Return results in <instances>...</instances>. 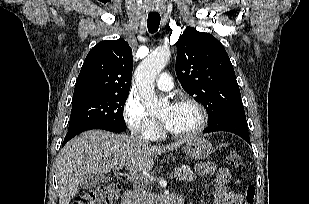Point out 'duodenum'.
Here are the masks:
<instances>
[{"mask_svg":"<svg viewBox=\"0 0 309 204\" xmlns=\"http://www.w3.org/2000/svg\"><path fill=\"white\" fill-rule=\"evenodd\" d=\"M132 193L130 190H126L123 196V204H129Z\"/></svg>","mask_w":309,"mask_h":204,"instance_id":"obj_1","label":"duodenum"}]
</instances>
